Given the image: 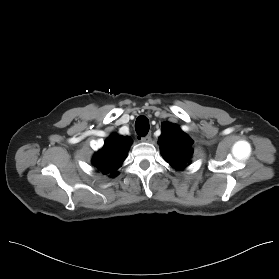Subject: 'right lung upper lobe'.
Returning <instances> with one entry per match:
<instances>
[{
	"instance_id": "1",
	"label": "right lung upper lobe",
	"mask_w": 279,
	"mask_h": 279,
	"mask_svg": "<svg viewBox=\"0 0 279 279\" xmlns=\"http://www.w3.org/2000/svg\"><path fill=\"white\" fill-rule=\"evenodd\" d=\"M131 144L132 140L129 137L111 135L105 141L102 149L93 156V165L104 174H109L111 177L116 176L117 169L125 160Z\"/></svg>"
}]
</instances>
